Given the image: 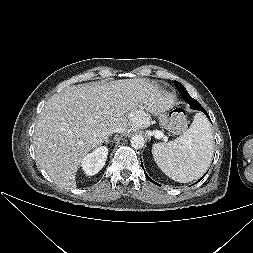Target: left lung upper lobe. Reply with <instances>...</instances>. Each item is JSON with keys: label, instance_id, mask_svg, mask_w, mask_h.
<instances>
[{"label": "left lung upper lobe", "instance_id": "obj_1", "mask_svg": "<svg viewBox=\"0 0 253 253\" xmlns=\"http://www.w3.org/2000/svg\"><path fill=\"white\" fill-rule=\"evenodd\" d=\"M174 84H175V87L177 88L178 92L180 93L181 97L187 101L189 104L191 102H193L195 99H193L189 93L187 92V90L183 87L182 84H180L179 82L177 81H174Z\"/></svg>", "mask_w": 253, "mask_h": 253}]
</instances>
